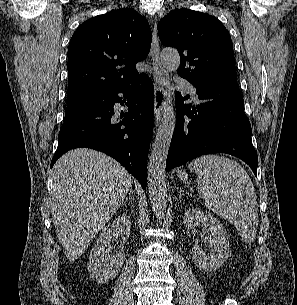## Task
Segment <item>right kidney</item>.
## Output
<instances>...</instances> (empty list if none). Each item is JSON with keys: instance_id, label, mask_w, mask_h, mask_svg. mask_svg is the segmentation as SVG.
<instances>
[{"instance_id": "1", "label": "right kidney", "mask_w": 297, "mask_h": 305, "mask_svg": "<svg viewBox=\"0 0 297 305\" xmlns=\"http://www.w3.org/2000/svg\"><path fill=\"white\" fill-rule=\"evenodd\" d=\"M131 221L127 214L119 215L100 233L89 256L88 271L91 278L98 283H107L114 279L125 260L124 244L116 255H110L111 240L121 235L123 241L130 236Z\"/></svg>"}]
</instances>
